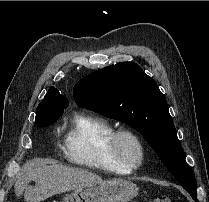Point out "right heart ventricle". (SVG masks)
<instances>
[{
	"mask_svg": "<svg viewBox=\"0 0 209 202\" xmlns=\"http://www.w3.org/2000/svg\"><path fill=\"white\" fill-rule=\"evenodd\" d=\"M107 119L82 114L72 121L64 135L63 153L70 162L114 173H130L132 169L114 161L107 143L114 130Z\"/></svg>",
	"mask_w": 209,
	"mask_h": 202,
	"instance_id": "obj_1",
	"label": "right heart ventricle"
}]
</instances>
